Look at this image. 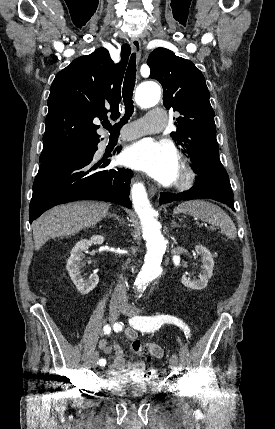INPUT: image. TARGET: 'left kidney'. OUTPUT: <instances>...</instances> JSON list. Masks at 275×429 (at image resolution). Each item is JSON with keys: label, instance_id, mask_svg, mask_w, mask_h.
Instances as JSON below:
<instances>
[{"label": "left kidney", "instance_id": "left-kidney-1", "mask_svg": "<svg viewBox=\"0 0 275 429\" xmlns=\"http://www.w3.org/2000/svg\"><path fill=\"white\" fill-rule=\"evenodd\" d=\"M195 250L197 254L201 256L202 260V270L201 274L199 275V279L192 280L186 275H183L181 282L187 288L193 290H203L207 286L208 280L213 275L214 261L212 258V254L206 247L202 245H197L195 247Z\"/></svg>", "mask_w": 275, "mask_h": 429}]
</instances>
